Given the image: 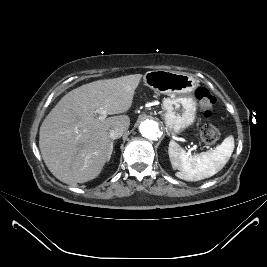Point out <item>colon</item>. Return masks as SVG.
<instances>
[{
	"label": "colon",
	"mask_w": 267,
	"mask_h": 267,
	"mask_svg": "<svg viewBox=\"0 0 267 267\" xmlns=\"http://www.w3.org/2000/svg\"><path fill=\"white\" fill-rule=\"evenodd\" d=\"M195 96L199 102L201 111L205 117H211L216 106V98L205 87H199L195 91ZM219 131L212 124H206L201 128V140L207 144L212 145L219 139Z\"/></svg>",
	"instance_id": "colon-1"
}]
</instances>
